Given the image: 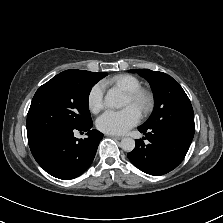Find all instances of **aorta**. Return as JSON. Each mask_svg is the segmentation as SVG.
<instances>
[{
    "label": "aorta",
    "mask_w": 223,
    "mask_h": 223,
    "mask_svg": "<svg viewBox=\"0 0 223 223\" xmlns=\"http://www.w3.org/2000/svg\"><path fill=\"white\" fill-rule=\"evenodd\" d=\"M105 104L110 108H121L125 105V101L117 90L112 88L105 96ZM120 146L124 151L131 152L135 148V141L132 138H123Z\"/></svg>",
    "instance_id": "aorta-1"
}]
</instances>
